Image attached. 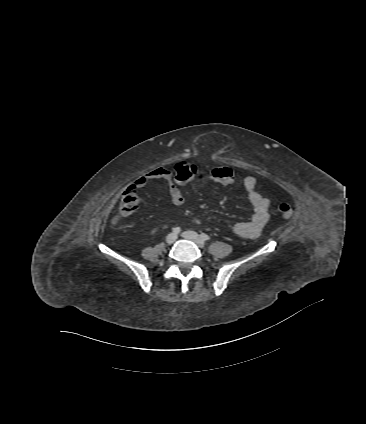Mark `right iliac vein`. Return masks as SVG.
I'll use <instances>...</instances> for the list:
<instances>
[{
  "mask_svg": "<svg viewBox=\"0 0 366 424\" xmlns=\"http://www.w3.org/2000/svg\"><path fill=\"white\" fill-rule=\"evenodd\" d=\"M176 239H177L176 234H174V233H170V234L166 237V242H167L168 244H173V243L176 241Z\"/></svg>",
  "mask_w": 366,
  "mask_h": 424,
  "instance_id": "obj_1",
  "label": "right iliac vein"
}]
</instances>
